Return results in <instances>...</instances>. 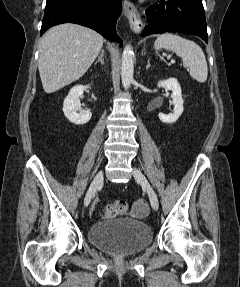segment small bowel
Instances as JSON below:
<instances>
[{
    "instance_id": "c3829d8e",
    "label": "small bowel",
    "mask_w": 240,
    "mask_h": 287,
    "mask_svg": "<svg viewBox=\"0 0 240 287\" xmlns=\"http://www.w3.org/2000/svg\"><path fill=\"white\" fill-rule=\"evenodd\" d=\"M132 211L135 215L142 216L147 214L148 205L142 198L136 199L133 203Z\"/></svg>"
}]
</instances>
